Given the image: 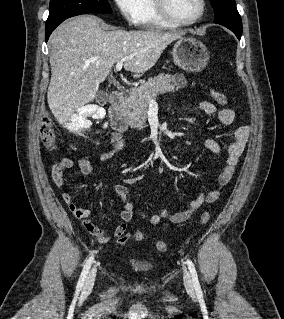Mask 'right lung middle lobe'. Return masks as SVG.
<instances>
[{
    "instance_id": "obj_1",
    "label": "right lung middle lobe",
    "mask_w": 284,
    "mask_h": 319,
    "mask_svg": "<svg viewBox=\"0 0 284 319\" xmlns=\"http://www.w3.org/2000/svg\"><path fill=\"white\" fill-rule=\"evenodd\" d=\"M112 13L108 0H50L46 27H52L72 16L90 13Z\"/></svg>"
}]
</instances>
